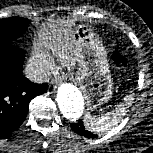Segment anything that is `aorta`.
Segmentation results:
<instances>
[{"label": "aorta", "instance_id": "762f6f07", "mask_svg": "<svg viewBox=\"0 0 153 153\" xmlns=\"http://www.w3.org/2000/svg\"><path fill=\"white\" fill-rule=\"evenodd\" d=\"M57 103L59 110L68 120L75 121L79 119L83 113V96L72 84L64 83L58 88Z\"/></svg>", "mask_w": 153, "mask_h": 153}]
</instances>
